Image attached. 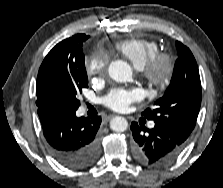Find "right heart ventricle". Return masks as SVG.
<instances>
[{
  "mask_svg": "<svg viewBox=\"0 0 223 188\" xmlns=\"http://www.w3.org/2000/svg\"><path fill=\"white\" fill-rule=\"evenodd\" d=\"M115 50L129 59L137 68H142L160 48L156 41L143 38H129L117 42Z\"/></svg>",
  "mask_w": 223,
  "mask_h": 188,
  "instance_id": "1",
  "label": "right heart ventricle"
}]
</instances>
